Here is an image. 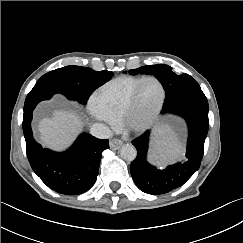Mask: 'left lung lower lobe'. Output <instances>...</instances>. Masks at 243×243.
Instances as JSON below:
<instances>
[{"label": "left lung lower lobe", "mask_w": 243, "mask_h": 243, "mask_svg": "<svg viewBox=\"0 0 243 243\" xmlns=\"http://www.w3.org/2000/svg\"><path fill=\"white\" fill-rule=\"evenodd\" d=\"M208 101L202 90L182 95L163 106L162 114H174L185 119L188 126L186 158L183 162L157 169L147 161L151 131L132 141L137 156L130 171L137 187L153 195L164 194L182 186L200 167L204 142L208 133Z\"/></svg>", "instance_id": "obj_1"}]
</instances>
